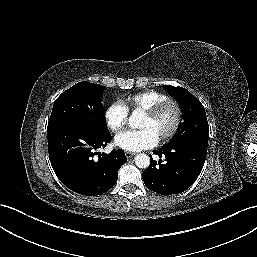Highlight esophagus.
I'll use <instances>...</instances> for the list:
<instances>
[{
	"instance_id": "1",
	"label": "esophagus",
	"mask_w": 257,
	"mask_h": 257,
	"mask_svg": "<svg viewBox=\"0 0 257 257\" xmlns=\"http://www.w3.org/2000/svg\"><path fill=\"white\" fill-rule=\"evenodd\" d=\"M125 155H126V158L129 159V158L133 157V156L135 155V153L126 151V152H125Z\"/></svg>"
}]
</instances>
